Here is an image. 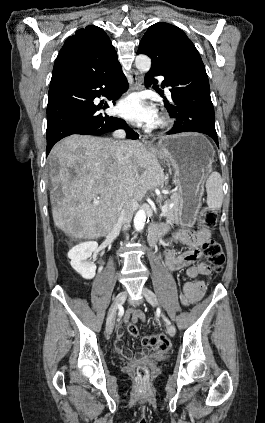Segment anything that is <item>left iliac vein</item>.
Listing matches in <instances>:
<instances>
[{
    "label": "left iliac vein",
    "mask_w": 265,
    "mask_h": 423,
    "mask_svg": "<svg viewBox=\"0 0 265 423\" xmlns=\"http://www.w3.org/2000/svg\"><path fill=\"white\" fill-rule=\"evenodd\" d=\"M143 295L146 298V300L148 301V303H150L152 306H154V307L159 306V302H158V299H157L155 293L152 292L150 289L144 287ZM167 332L170 336H174L175 332H176L175 327L169 321H167Z\"/></svg>",
    "instance_id": "left-iliac-vein-1"
}]
</instances>
